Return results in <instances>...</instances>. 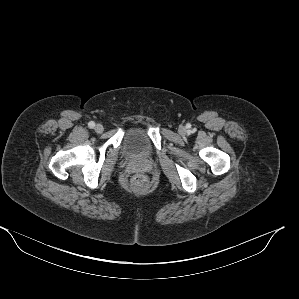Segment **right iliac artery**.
Returning <instances> with one entry per match:
<instances>
[{
    "instance_id": "right-iliac-artery-1",
    "label": "right iliac artery",
    "mask_w": 299,
    "mask_h": 299,
    "mask_svg": "<svg viewBox=\"0 0 299 299\" xmlns=\"http://www.w3.org/2000/svg\"><path fill=\"white\" fill-rule=\"evenodd\" d=\"M89 128H93L95 126V123L93 121L88 123Z\"/></svg>"
}]
</instances>
